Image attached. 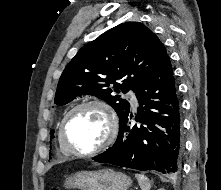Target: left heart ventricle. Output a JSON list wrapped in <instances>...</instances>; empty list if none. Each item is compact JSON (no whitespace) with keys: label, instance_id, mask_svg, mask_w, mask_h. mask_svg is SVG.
<instances>
[{"label":"left heart ventricle","instance_id":"b2bd125f","mask_svg":"<svg viewBox=\"0 0 221 190\" xmlns=\"http://www.w3.org/2000/svg\"><path fill=\"white\" fill-rule=\"evenodd\" d=\"M108 117L96 106L74 112L66 127L68 141L79 150H89L101 144L108 133Z\"/></svg>","mask_w":221,"mask_h":190}]
</instances>
